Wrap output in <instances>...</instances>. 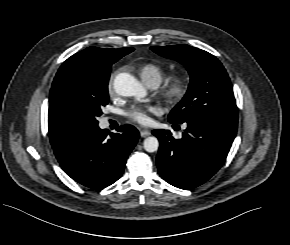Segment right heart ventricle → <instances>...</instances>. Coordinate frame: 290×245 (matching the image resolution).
Wrapping results in <instances>:
<instances>
[{
	"label": "right heart ventricle",
	"instance_id": "1",
	"mask_svg": "<svg viewBox=\"0 0 290 245\" xmlns=\"http://www.w3.org/2000/svg\"><path fill=\"white\" fill-rule=\"evenodd\" d=\"M138 72L147 85L151 82H158L159 84L165 77V71L154 63H145L141 65Z\"/></svg>",
	"mask_w": 290,
	"mask_h": 245
}]
</instances>
